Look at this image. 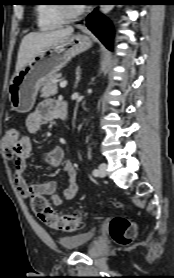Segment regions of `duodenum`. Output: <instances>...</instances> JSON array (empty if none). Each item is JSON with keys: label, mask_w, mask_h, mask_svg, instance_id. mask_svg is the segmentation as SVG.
Returning a JSON list of instances; mask_svg holds the SVG:
<instances>
[{"label": "duodenum", "mask_w": 174, "mask_h": 278, "mask_svg": "<svg viewBox=\"0 0 174 278\" xmlns=\"http://www.w3.org/2000/svg\"><path fill=\"white\" fill-rule=\"evenodd\" d=\"M57 113H58V116L62 119L68 118L67 104L64 101H62L58 104Z\"/></svg>", "instance_id": "duodenum-1"}]
</instances>
